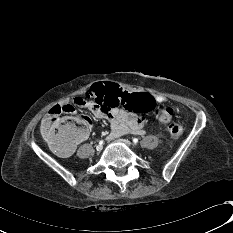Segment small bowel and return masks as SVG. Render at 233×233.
Segmentation results:
<instances>
[{
  "label": "small bowel",
  "instance_id": "c3829d8e",
  "mask_svg": "<svg viewBox=\"0 0 233 233\" xmlns=\"http://www.w3.org/2000/svg\"><path fill=\"white\" fill-rule=\"evenodd\" d=\"M151 95L155 98L157 103L167 101V98L163 95ZM70 104L73 105L75 109L83 108L90 110L96 118L107 119L111 125L112 136L115 138L125 134L144 135L146 133L144 119L139 117L135 112L121 109L119 107H110L106 109L105 106L99 103L95 105V102L90 98L89 93L86 96L74 98ZM74 147L75 145L71 148L70 154L73 152Z\"/></svg>",
  "mask_w": 233,
  "mask_h": 233
}]
</instances>
